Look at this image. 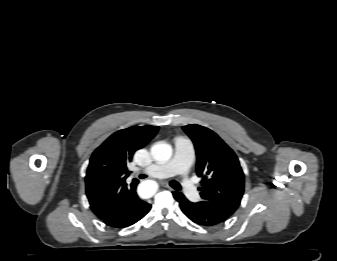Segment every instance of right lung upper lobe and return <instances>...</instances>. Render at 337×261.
Listing matches in <instances>:
<instances>
[{
    "label": "right lung upper lobe",
    "instance_id": "1",
    "mask_svg": "<svg viewBox=\"0 0 337 261\" xmlns=\"http://www.w3.org/2000/svg\"><path fill=\"white\" fill-rule=\"evenodd\" d=\"M157 126H135L112 134L92 154L86 174V194L92 211L105 218L114 211L138 180L125 182L127 168L136 150L143 148L158 132Z\"/></svg>",
    "mask_w": 337,
    "mask_h": 261
}]
</instances>
